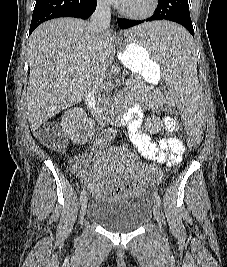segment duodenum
Wrapping results in <instances>:
<instances>
[{
  "instance_id": "obj_1",
  "label": "duodenum",
  "mask_w": 227,
  "mask_h": 267,
  "mask_svg": "<svg viewBox=\"0 0 227 267\" xmlns=\"http://www.w3.org/2000/svg\"><path fill=\"white\" fill-rule=\"evenodd\" d=\"M86 105L88 109L91 111V113L100 120H105L107 118V115L100 109V107L97 104L95 94L90 92L86 96L85 99Z\"/></svg>"
}]
</instances>
